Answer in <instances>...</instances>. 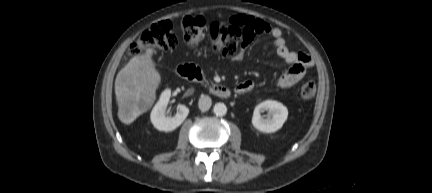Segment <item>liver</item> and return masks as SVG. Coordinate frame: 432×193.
I'll return each instance as SVG.
<instances>
[{
  "label": "liver",
  "instance_id": "liver-1",
  "mask_svg": "<svg viewBox=\"0 0 432 193\" xmlns=\"http://www.w3.org/2000/svg\"><path fill=\"white\" fill-rule=\"evenodd\" d=\"M153 50L148 48L143 55L134 56L119 71L115 80V95L118 118L131 124L146 112L156 99V90L161 76L152 60Z\"/></svg>",
  "mask_w": 432,
  "mask_h": 193
}]
</instances>
